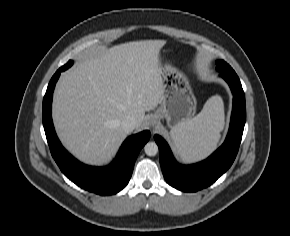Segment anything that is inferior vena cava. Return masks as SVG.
<instances>
[{
  "mask_svg": "<svg viewBox=\"0 0 290 236\" xmlns=\"http://www.w3.org/2000/svg\"><path fill=\"white\" fill-rule=\"evenodd\" d=\"M121 127L126 133L132 132L136 128V119L128 116L121 122Z\"/></svg>",
  "mask_w": 290,
  "mask_h": 236,
  "instance_id": "obj_1",
  "label": "inferior vena cava"
}]
</instances>
